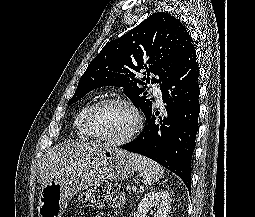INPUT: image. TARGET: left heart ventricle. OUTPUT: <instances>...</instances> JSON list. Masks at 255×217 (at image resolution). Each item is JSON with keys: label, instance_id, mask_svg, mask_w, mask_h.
Listing matches in <instances>:
<instances>
[{"label": "left heart ventricle", "instance_id": "left-heart-ventricle-1", "mask_svg": "<svg viewBox=\"0 0 255 217\" xmlns=\"http://www.w3.org/2000/svg\"><path fill=\"white\" fill-rule=\"evenodd\" d=\"M93 121L103 137L118 140L131 131L135 124V117L129 108L111 104L100 108L95 113Z\"/></svg>", "mask_w": 255, "mask_h": 217}]
</instances>
